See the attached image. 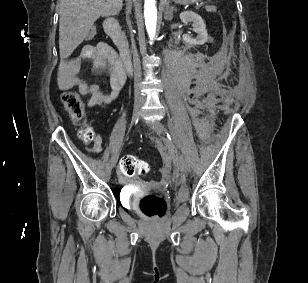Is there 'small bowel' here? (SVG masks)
I'll return each mask as SVG.
<instances>
[{"instance_id":"c3829d8e","label":"small bowel","mask_w":308,"mask_h":283,"mask_svg":"<svg viewBox=\"0 0 308 283\" xmlns=\"http://www.w3.org/2000/svg\"><path fill=\"white\" fill-rule=\"evenodd\" d=\"M83 60H91L95 71H108L111 88L109 93H104L97 85L88 84L80 77ZM62 72L70 84L77 87L81 95L87 97V104L91 107H105L115 101L126 80V74L117 53L105 42L84 46L78 57L68 59L62 64ZM92 142V146L87 149L93 153L101 152L102 138L98 133L94 135Z\"/></svg>"}]
</instances>
